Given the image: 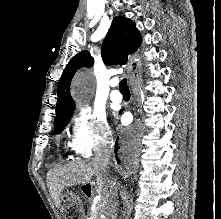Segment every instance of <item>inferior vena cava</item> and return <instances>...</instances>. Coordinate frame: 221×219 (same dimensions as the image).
I'll return each instance as SVG.
<instances>
[{"label":"inferior vena cava","instance_id":"602c4592","mask_svg":"<svg viewBox=\"0 0 221 219\" xmlns=\"http://www.w3.org/2000/svg\"><path fill=\"white\" fill-rule=\"evenodd\" d=\"M113 148V141L111 139H102L95 149V156L93 158V165L99 176L108 177L107 166ZM117 204V203H116ZM107 218L116 219V210H110Z\"/></svg>","mask_w":221,"mask_h":219}]
</instances>
